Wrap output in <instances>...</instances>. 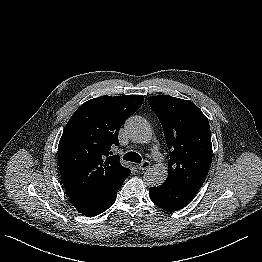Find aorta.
Wrapping results in <instances>:
<instances>
[{
  "instance_id": "762f6f07",
  "label": "aorta",
  "mask_w": 262,
  "mask_h": 262,
  "mask_svg": "<svg viewBox=\"0 0 262 262\" xmlns=\"http://www.w3.org/2000/svg\"><path fill=\"white\" fill-rule=\"evenodd\" d=\"M125 130L129 138L136 142L145 144L152 138V129L148 122L140 116H131L125 122ZM168 171L163 165H153L144 173L143 179L150 187H159L167 179Z\"/></svg>"
}]
</instances>
